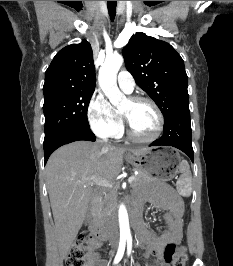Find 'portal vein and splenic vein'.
<instances>
[{
  "label": "portal vein and splenic vein",
  "instance_id": "18ae733b",
  "mask_svg": "<svg viewBox=\"0 0 233 266\" xmlns=\"http://www.w3.org/2000/svg\"><path fill=\"white\" fill-rule=\"evenodd\" d=\"M134 179H135L134 175L130 176L128 178V183H132ZM85 181L90 184H96V185L103 186V187H109V188L113 187L112 183L109 180L103 179V178L90 177V178H86L83 181H79V182H85Z\"/></svg>",
  "mask_w": 233,
  "mask_h": 266
}]
</instances>
